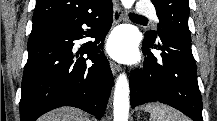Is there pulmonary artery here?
<instances>
[{"label":"pulmonary artery","instance_id":"e3ab8cb5","mask_svg":"<svg viewBox=\"0 0 217 121\" xmlns=\"http://www.w3.org/2000/svg\"><path fill=\"white\" fill-rule=\"evenodd\" d=\"M137 11L142 15V16H148L151 17L153 20L157 21V16L154 12V9L150 5H141L137 8Z\"/></svg>","mask_w":217,"mask_h":121}]
</instances>
